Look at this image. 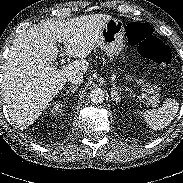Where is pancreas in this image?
Instances as JSON below:
<instances>
[{"mask_svg": "<svg viewBox=\"0 0 183 183\" xmlns=\"http://www.w3.org/2000/svg\"><path fill=\"white\" fill-rule=\"evenodd\" d=\"M137 83L140 84L141 86H144V85L147 86L148 93L152 94L151 99H150L151 102H149V104L152 106H157L159 103L160 88L157 85H150L149 83L145 84L143 79L137 80Z\"/></svg>", "mask_w": 183, "mask_h": 183, "instance_id": "obj_1", "label": "pancreas"}]
</instances>
